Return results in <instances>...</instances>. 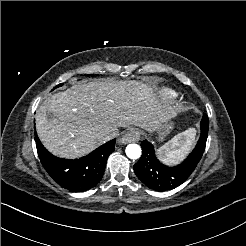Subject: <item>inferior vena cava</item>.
I'll use <instances>...</instances> for the list:
<instances>
[{
  "label": "inferior vena cava",
  "mask_w": 246,
  "mask_h": 246,
  "mask_svg": "<svg viewBox=\"0 0 246 246\" xmlns=\"http://www.w3.org/2000/svg\"><path fill=\"white\" fill-rule=\"evenodd\" d=\"M117 134H118V130H117V129H112V130H110V132H109V134H108V138H109V139H112V138H114L115 136H117Z\"/></svg>",
  "instance_id": "602c4592"
}]
</instances>
